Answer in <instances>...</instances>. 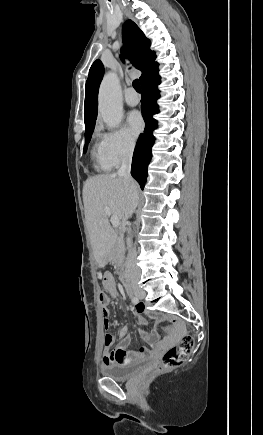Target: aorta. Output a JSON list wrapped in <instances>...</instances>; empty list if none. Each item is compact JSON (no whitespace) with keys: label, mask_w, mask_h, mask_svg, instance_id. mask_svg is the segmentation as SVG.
<instances>
[{"label":"aorta","mask_w":263,"mask_h":435,"mask_svg":"<svg viewBox=\"0 0 263 435\" xmlns=\"http://www.w3.org/2000/svg\"><path fill=\"white\" fill-rule=\"evenodd\" d=\"M98 108L103 121L109 128L119 126L123 116L121 89L118 78L108 73L102 80L98 94ZM127 249L130 251L132 238L126 239Z\"/></svg>","instance_id":"aorta-1"}]
</instances>
